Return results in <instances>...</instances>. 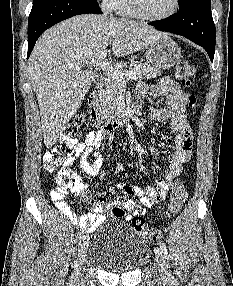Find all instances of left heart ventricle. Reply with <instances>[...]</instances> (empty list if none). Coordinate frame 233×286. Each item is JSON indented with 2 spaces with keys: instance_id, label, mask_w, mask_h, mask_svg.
<instances>
[{
  "instance_id": "obj_1",
  "label": "left heart ventricle",
  "mask_w": 233,
  "mask_h": 286,
  "mask_svg": "<svg viewBox=\"0 0 233 286\" xmlns=\"http://www.w3.org/2000/svg\"><path fill=\"white\" fill-rule=\"evenodd\" d=\"M145 13L151 16H163L174 7V0H140Z\"/></svg>"
}]
</instances>
